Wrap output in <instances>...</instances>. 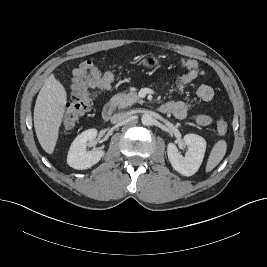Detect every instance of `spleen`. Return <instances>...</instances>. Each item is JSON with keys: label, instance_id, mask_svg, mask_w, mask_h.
Returning a JSON list of instances; mask_svg holds the SVG:
<instances>
[{"label": "spleen", "instance_id": "1", "mask_svg": "<svg viewBox=\"0 0 267 267\" xmlns=\"http://www.w3.org/2000/svg\"><path fill=\"white\" fill-rule=\"evenodd\" d=\"M227 144L224 140H219L213 146L206 165V172L213 170L226 154Z\"/></svg>", "mask_w": 267, "mask_h": 267}]
</instances>
